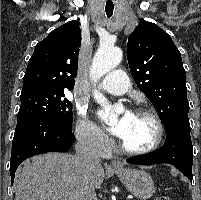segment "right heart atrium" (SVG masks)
Instances as JSON below:
<instances>
[{
	"label": "right heart atrium",
	"instance_id": "1",
	"mask_svg": "<svg viewBox=\"0 0 201 200\" xmlns=\"http://www.w3.org/2000/svg\"><path fill=\"white\" fill-rule=\"evenodd\" d=\"M76 138L87 150L99 155H106L111 147L108 136L86 115L84 110L79 111L75 129Z\"/></svg>",
	"mask_w": 201,
	"mask_h": 200
}]
</instances>
